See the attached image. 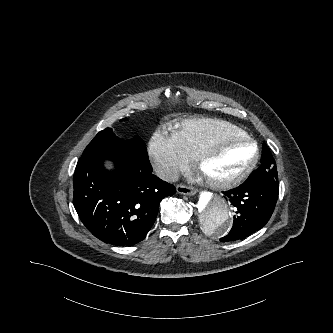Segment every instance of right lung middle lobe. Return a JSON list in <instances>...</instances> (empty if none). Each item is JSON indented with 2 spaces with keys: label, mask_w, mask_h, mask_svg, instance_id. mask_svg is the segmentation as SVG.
Returning a JSON list of instances; mask_svg holds the SVG:
<instances>
[{
  "label": "right lung middle lobe",
  "mask_w": 333,
  "mask_h": 333,
  "mask_svg": "<svg viewBox=\"0 0 333 333\" xmlns=\"http://www.w3.org/2000/svg\"><path fill=\"white\" fill-rule=\"evenodd\" d=\"M123 156L131 159L147 160L146 145L139 137L120 140L110 128L100 131L84 150L82 157Z\"/></svg>",
  "instance_id": "1"
}]
</instances>
